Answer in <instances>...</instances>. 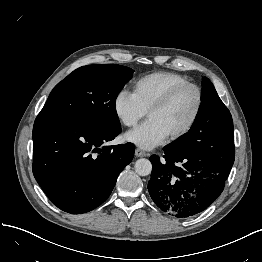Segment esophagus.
Wrapping results in <instances>:
<instances>
[{
	"label": "esophagus",
	"mask_w": 262,
	"mask_h": 262,
	"mask_svg": "<svg viewBox=\"0 0 262 262\" xmlns=\"http://www.w3.org/2000/svg\"><path fill=\"white\" fill-rule=\"evenodd\" d=\"M135 155H136L137 157H146V156H148V153H146L145 151L137 148V149L135 150Z\"/></svg>",
	"instance_id": "obj_1"
}]
</instances>
